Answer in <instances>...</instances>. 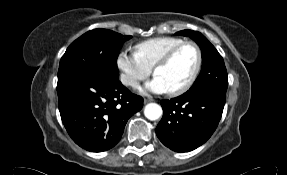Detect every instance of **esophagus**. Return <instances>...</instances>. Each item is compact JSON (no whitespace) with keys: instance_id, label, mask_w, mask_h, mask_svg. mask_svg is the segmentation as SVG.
<instances>
[{"instance_id":"esophagus-1","label":"esophagus","mask_w":287,"mask_h":175,"mask_svg":"<svg viewBox=\"0 0 287 175\" xmlns=\"http://www.w3.org/2000/svg\"><path fill=\"white\" fill-rule=\"evenodd\" d=\"M151 101H153V99L151 97L144 98V103L145 104L148 103V102H151Z\"/></svg>"}]
</instances>
